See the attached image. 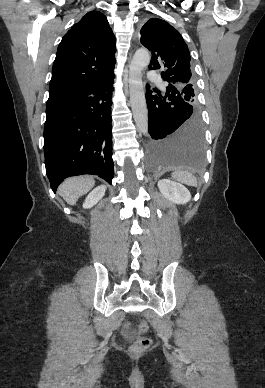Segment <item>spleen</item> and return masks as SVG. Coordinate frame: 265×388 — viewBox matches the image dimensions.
<instances>
[{
	"mask_svg": "<svg viewBox=\"0 0 265 388\" xmlns=\"http://www.w3.org/2000/svg\"><path fill=\"white\" fill-rule=\"evenodd\" d=\"M173 180H177V182H181V184H187V186H197L196 178H194L193 174L190 172H173L172 174Z\"/></svg>",
	"mask_w": 265,
	"mask_h": 388,
	"instance_id": "spleen-1",
	"label": "spleen"
}]
</instances>
